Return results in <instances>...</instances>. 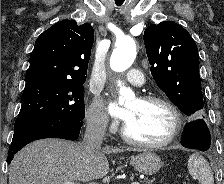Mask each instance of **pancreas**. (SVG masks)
<instances>
[{"label": "pancreas", "instance_id": "cf45deb5", "mask_svg": "<svg viewBox=\"0 0 224 184\" xmlns=\"http://www.w3.org/2000/svg\"><path fill=\"white\" fill-rule=\"evenodd\" d=\"M146 184H153V180H146Z\"/></svg>", "mask_w": 224, "mask_h": 184}]
</instances>
